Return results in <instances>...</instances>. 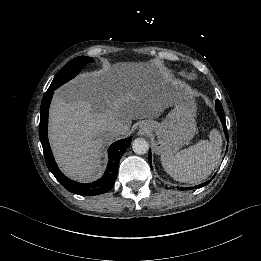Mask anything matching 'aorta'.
Returning a JSON list of instances; mask_svg holds the SVG:
<instances>
[{
  "label": "aorta",
  "mask_w": 261,
  "mask_h": 261,
  "mask_svg": "<svg viewBox=\"0 0 261 261\" xmlns=\"http://www.w3.org/2000/svg\"><path fill=\"white\" fill-rule=\"evenodd\" d=\"M134 153L138 155L146 154L149 150V144L144 138H136L132 143Z\"/></svg>",
  "instance_id": "1"
}]
</instances>
